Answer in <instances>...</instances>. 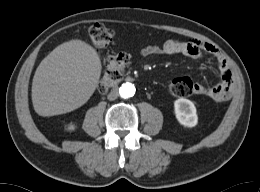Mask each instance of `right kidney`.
Instances as JSON below:
<instances>
[{
	"instance_id": "right-kidney-1",
	"label": "right kidney",
	"mask_w": 260,
	"mask_h": 192,
	"mask_svg": "<svg viewBox=\"0 0 260 192\" xmlns=\"http://www.w3.org/2000/svg\"><path fill=\"white\" fill-rule=\"evenodd\" d=\"M68 129L69 130H74L75 129V125L74 124L70 125Z\"/></svg>"
}]
</instances>
